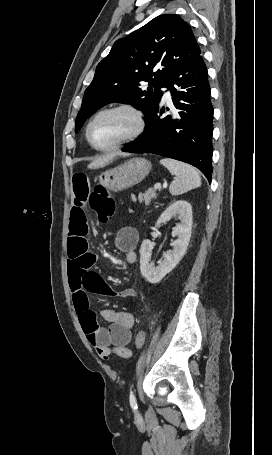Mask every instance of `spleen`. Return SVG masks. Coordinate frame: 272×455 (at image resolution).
Masks as SVG:
<instances>
[{"instance_id": "spleen-1", "label": "spleen", "mask_w": 272, "mask_h": 455, "mask_svg": "<svg viewBox=\"0 0 272 455\" xmlns=\"http://www.w3.org/2000/svg\"><path fill=\"white\" fill-rule=\"evenodd\" d=\"M160 163L175 176L169 186V192L172 195H181L189 190L200 187L201 178L194 167L168 158L161 159Z\"/></svg>"}]
</instances>
